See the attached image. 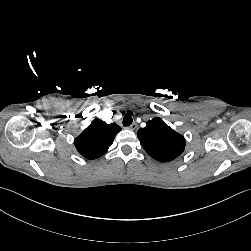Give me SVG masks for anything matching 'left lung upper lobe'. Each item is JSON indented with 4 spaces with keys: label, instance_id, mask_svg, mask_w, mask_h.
Listing matches in <instances>:
<instances>
[{
    "label": "left lung upper lobe",
    "instance_id": "obj_1",
    "mask_svg": "<svg viewBox=\"0 0 251 251\" xmlns=\"http://www.w3.org/2000/svg\"><path fill=\"white\" fill-rule=\"evenodd\" d=\"M137 136L145 151L158 161H171L185 148L184 137L160 118L149 120L146 127L138 130Z\"/></svg>",
    "mask_w": 251,
    "mask_h": 251
}]
</instances>
